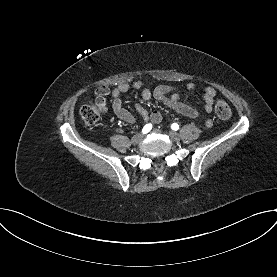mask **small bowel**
Wrapping results in <instances>:
<instances>
[{"label":"small bowel","mask_w":277,"mask_h":277,"mask_svg":"<svg viewBox=\"0 0 277 277\" xmlns=\"http://www.w3.org/2000/svg\"><path fill=\"white\" fill-rule=\"evenodd\" d=\"M195 88L196 85L194 83H188L185 86L186 90H194ZM131 89L140 90L142 98L145 101L154 98L170 109L186 117L196 119L200 116V113L196 108L180 101V88L171 85H159L153 91L147 88L140 81H135L132 83H120L112 91H110L105 86H100L95 90V98L105 101V97L110 94L112 98V109L116 116L125 122L135 123L136 119L134 115L124 108L121 99V95ZM215 96L216 91L213 87L207 86L204 88L201 102L207 113L212 111ZM135 108L144 121H150L154 124H158L162 120V115L159 111L155 110L149 113L145 107L139 103L135 105ZM211 125V120H207L206 126L210 127Z\"/></svg>","instance_id":"1"}]
</instances>
